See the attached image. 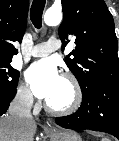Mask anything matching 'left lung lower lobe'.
Listing matches in <instances>:
<instances>
[{
    "label": "left lung lower lobe",
    "mask_w": 119,
    "mask_h": 141,
    "mask_svg": "<svg viewBox=\"0 0 119 141\" xmlns=\"http://www.w3.org/2000/svg\"><path fill=\"white\" fill-rule=\"evenodd\" d=\"M66 129L106 132L119 139V80L106 79L83 94L80 108L56 118Z\"/></svg>",
    "instance_id": "left-lung-lower-lobe-1"
}]
</instances>
